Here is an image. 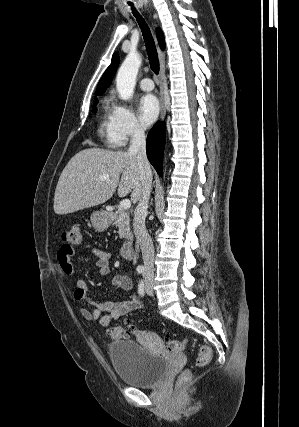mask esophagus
Returning a JSON list of instances; mask_svg holds the SVG:
<instances>
[{
    "label": "esophagus",
    "instance_id": "obj_1",
    "mask_svg": "<svg viewBox=\"0 0 299 427\" xmlns=\"http://www.w3.org/2000/svg\"><path fill=\"white\" fill-rule=\"evenodd\" d=\"M159 60H160V103H161V114L160 119L163 120L166 115V107L164 103V73H165V55L159 49Z\"/></svg>",
    "mask_w": 299,
    "mask_h": 427
}]
</instances>
